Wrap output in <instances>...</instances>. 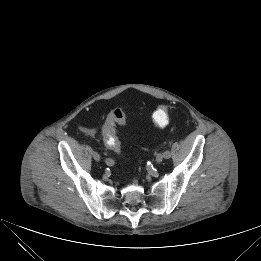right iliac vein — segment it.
<instances>
[{"mask_svg":"<svg viewBox=\"0 0 261 261\" xmlns=\"http://www.w3.org/2000/svg\"><path fill=\"white\" fill-rule=\"evenodd\" d=\"M92 158L96 162H100L101 161V156L97 152H92Z\"/></svg>","mask_w":261,"mask_h":261,"instance_id":"1","label":"right iliac vein"}]
</instances>
